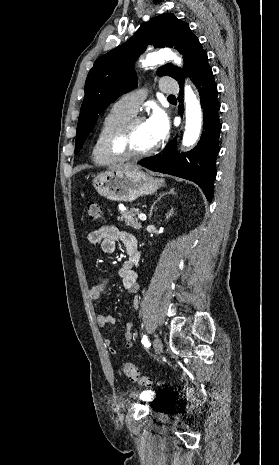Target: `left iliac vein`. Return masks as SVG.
Instances as JSON below:
<instances>
[{"label":"left iliac vein","instance_id":"4c4485c4","mask_svg":"<svg viewBox=\"0 0 279 465\" xmlns=\"http://www.w3.org/2000/svg\"><path fill=\"white\" fill-rule=\"evenodd\" d=\"M153 347H154V351L156 353V355H159L162 350H163V344H162V341L156 337L153 341Z\"/></svg>","mask_w":279,"mask_h":465}]
</instances>
